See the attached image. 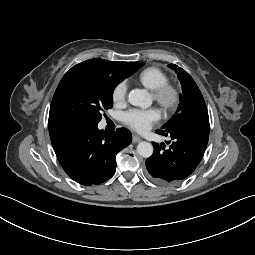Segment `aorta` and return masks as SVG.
Here are the masks:
<instances>
[{"instance_id":"1","label":"aorta","mask_w":255,"mask_h":255,"mask_svg":"<svg viewBox=\"0 0 255 255\" xmlns=\"http://www.w3.org/2000/svg\"><path fill=\"white\" fill-rule=\"evenodd\" d=\"M128 101L134 106L148 108L152 104V99L147 90L134 89L128 95ZM137 152L144 158H149L153 154V146L149 142L142 141L137 146Z\"/></svg>"}]
</instances>
